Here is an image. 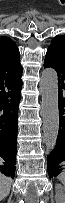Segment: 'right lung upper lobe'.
<instances>
[{"mask_svg":"<svg viewBox=\"0 0 65 203\" xmlns=\"http://www.w3.org/2000/svg\"><path fill=\"white\" fill-rule=\"evenodd\" d=\"M22 70L20 54L16 44L7 37H0V75L13 74Z\"/></svg>","mask_w":65,"mask_h":203,"instance_id":"obj_1","label":"right lung upper lobe"}]
</instances>
